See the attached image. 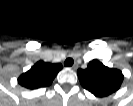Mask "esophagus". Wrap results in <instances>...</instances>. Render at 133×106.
<instances>
[{
	"instance_id": "34e87169",
	"label": "esophagus",
	"mask_w": 133,
	"mask_h": 106,
	"mask_svg": "<svg viewBox=\"0 0 133 106\" xmlns=\"http://www.w3.org/2000/svg\"><path fill=\"white\" fill-rule=\"evenodd\" d=\"M73 70H76L78 68V65L77 64H74L72 67H71Z\"/></svg>"
}]
</instances>
